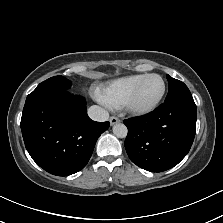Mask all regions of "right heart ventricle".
<instances>
[{
  "instance_id": "right-heart-ventricle-1",
  "label": "right heart ventricle",
  "mask_w": 223,
  "mask_h": 223,
  "mask_svg": "<svg viewBox=\"0 0 223 223\" xmlns=\"http://www.w3.org/2000/svg\"><path fill=\"white\" fill-rule=\"evenodd\" d=\"M145 74H132L112 81L101 91L103 101L112 108H120L128 94Z\"/></svg>"
}]
</instances>
